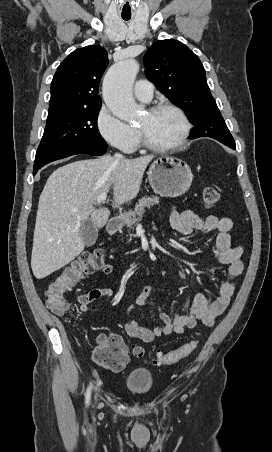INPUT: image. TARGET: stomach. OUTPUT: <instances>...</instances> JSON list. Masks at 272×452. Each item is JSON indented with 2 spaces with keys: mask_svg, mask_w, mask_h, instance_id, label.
Here are the masks:
<instances>
[{
  "mask_svg": "<svg viewBox=\"0 0 272 452\" xmlns=\"http://www.w3.org/2000/svg\"><path fill=\"white\" fill-rule=\"evenodd\" d=\"M147 174L154 192L169 198L183 195L193 180L190 167L183 160L170 156L156 158Z\"/></svg>",
  "mask_w": 272,
  "mask_h": 452,
  "instance_id": "obj_1",
  "label": "stomach"
}]
</instances>
